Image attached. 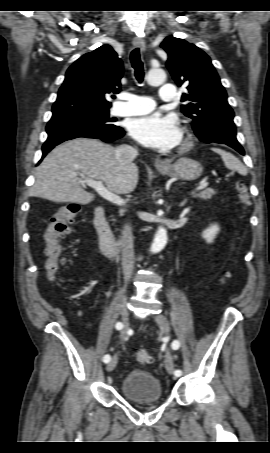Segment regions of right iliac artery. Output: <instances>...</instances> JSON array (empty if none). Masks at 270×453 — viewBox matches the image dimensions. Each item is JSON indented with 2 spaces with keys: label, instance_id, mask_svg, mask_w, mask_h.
Returning a JSON list of instances; mask_svg holds the SVG:
<instances>
[{
  "label": "right iliac artery",
  "instance_id": "82829eb1",
  "mask_svg": "<svg viewBox=\"0 0 270 453\" xmlns=\"http://www.w3.org/2000/svg\"><path fill=\"white\" fill-rule=\"evenodd\" d=\"M123 328V324L121 322H118L116 324V329L117 330H121ZM111 359V356L109 354H106L104 357H103V361L104 363H108Z\"/></svg>",
  "mask_w": 270,
  "mask_h": 453
}]
</instances>
